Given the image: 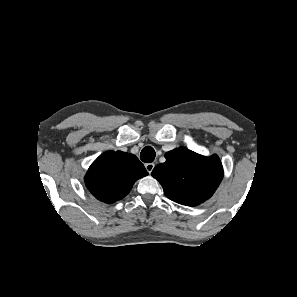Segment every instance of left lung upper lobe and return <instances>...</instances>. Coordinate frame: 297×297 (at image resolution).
Segmentation results:
<instances>
[{
	"mask_svg": "<svg viewBox=\"0 0 297 297\" xmlns=\"http://www.w3.org/2000/svg\"><path fill=\"white\" fill-rule=\"evenodd\" d=\"M166 162L152 171L165 195L179 204L196 206L210 198L223 178L217 155L201 156L179 147L165 154Z\"/></svg>",
	"mask_w": 297,
	"mask_h": 297,
	"instance_id": "1",
	"label": "left lung upper lobe"
}]
</instances>
